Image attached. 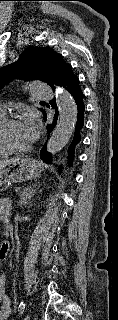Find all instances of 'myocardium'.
<instances>
[{"label":"myocardium","instance_id":"myocardium-1","mask_svg":"<svg viewBox=\"0 0 118 320\" xmlns=\"http://www.w3.org/2000/svg\"><path fill=\"white\" fill-rule=\"evenodd\" d=\"M19 122H20V120L16 117H4L0 121V145L5 150H7L9 153H26L32 148L31 145H29L27 147H22V148L14 147L7 141L6 136H5L6 129L10 125L16 124Z\"/></svg>","mask_w":118,"mask_h":320}]
</instances>
